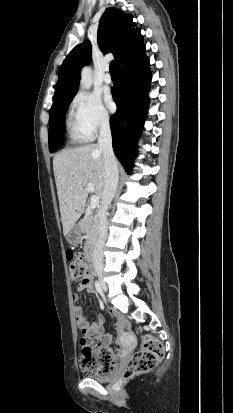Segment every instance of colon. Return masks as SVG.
I'll return each mask as SVG.
<instances>
[{"mask_svg":"<svg viewBox=\"0 0 233 413\" xmlns=\"http://www.w3.org/2000/svg\"><path fill=\"white\" fill-rule=\"evenodd\" d=\"M69 273L72 282H78L87 278L91 269L86 258L69 250ZM82 346L81 366L86 373L106 375L114 368V355L110 349L94 348L89 338L80 340ZM162 344L151 335H145L140 349L131 357L123 376L126 379L152 370L163 357Z\"/></svg>","mask_w":233,"mask_h":413,"instance_id":"5ec220e1","label":"colon"}]
</instances>
